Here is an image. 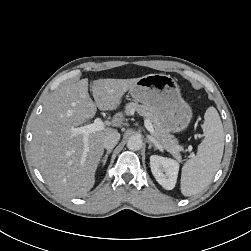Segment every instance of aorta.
I'll return each instance as SVG.
<instances>
[{"label":"aorta","instance_id":"obj_1","mask_svg":"<svg viewBox=\"0 0 251 251\" xmlns=\"http://www.w3.org/2000/svg\"><path fill=\"white\" fill-rule=\"evenodd\" d=\"M142 139L140 136L133 135L127 141V148L131 151H138L142 147Z\"/></svg>","mask_w":251,"mask_h":251}]
</instances>
